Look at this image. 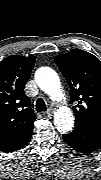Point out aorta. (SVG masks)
<instances>
[{"label": "aorta", "mask_w": 101, "mask_h": 180, "mask_svg": "<svg viewBox=\"0 0 101 180\" xmlns=\"http://www.w3.org/2000/svg\"><path fill=\"white\" fill-rule=\"evenodd\" d=\"M38 86L47 93L53 101H61L64 94L57 73L50 68H41L36 73ZM56 128L60 132H68L74 126L73 113L67 106H60L54 116Z\"/></svg>", "instance_id": "obj_1"}]
</instances>
